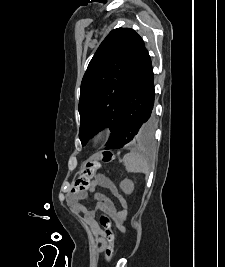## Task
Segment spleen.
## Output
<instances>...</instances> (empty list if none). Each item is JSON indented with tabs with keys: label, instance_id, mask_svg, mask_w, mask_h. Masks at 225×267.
Wrapping results in <instances>:
<instances>
[{
	"label": "spleen",
	"instance_id": "1",
	"mask_svg": "<svg viewBox=\"0 0 225 267\" xmlns=\"http://www.w3.org/2000/svg\"><path fill=\"white\" fill-rule=\"evenodd\" d=\"M124 165L127 172L149 174L150 167L146 159L136 151H130L124 156Z\"/></svg>",
	"mask_w": 225,
	"mask_h": 267
}]
</instances>
